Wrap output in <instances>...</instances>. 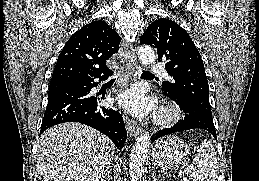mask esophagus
Here are the masks:
<instances>
[{
	"mask_svg": "<svg viewBox=\"0 0 259 181\" xmlns=\"http://www.w3.org/2000/svg\"><path fill=\"white\" fill-rule=\"evenodd\" d=\"M121 50L127 59V71L129 76L135 77L138 73L139 67L133 45L128 41H123L121 44ZM125 124L131 137L137 136L142 130L137 122L127 117L125 118Z\"/></svg>",
	"mask_w": 259,
	"mask_h": 181,
	"instance_id": "34e87169",
	"label": "esophagus"
}]
</instances>
